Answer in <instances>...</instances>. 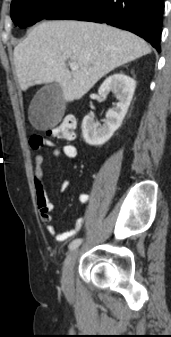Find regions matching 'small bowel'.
Wrapping results in <instances>:
<instances>
[{
	"instance_id": "1",
	"label": "small bowel",
	"mask_w": 171,
	"mask_h": 337,
	"mask_svg": "<svg viewBox=\"0 0 171 337\" xmlns=\"http://www.w3.org/2000/svg\"><path fill=\"white\" fill-rule=\"evenodd\" d=\"M30 145L35 151L33 157V183L36 194L37 206L40 212L42 222L46 225L47 231L50 235L56 238L58 241H65L71 237L78 235L84 226V217H79L73 224V226L65 231H61L54 224V217L52 215L53 204L49 198L48 191L45 185V173L43 169L44 156L40 152L42 146H47L51 149L54 156L63 154L69 159H75L78 156V149L73 144H65L63 146L57 145L55 142L49 139H45L41 136H35L30 139ZM70 181L68 179L63 180L60 183V190H65L69 187ZM89 202V196L87 194H81L79 196V203L82 206H86Z\"/></svg>"
}]
</instances>
